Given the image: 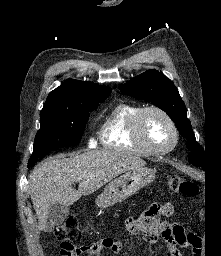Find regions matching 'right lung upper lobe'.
Instances as JSON below:
<instances>
[{
	"mask_svg": "<svg viewBox=\"0 0 221 256\" xmlns=\"http://www.w3.org/2000/svg\"><path fill=\"white\" fill-rule=\"evenodd\" d=\"M110 93L111 89L107 86L69 79L50 92L41 112L73 110L79 102Z\"/></svg>",
	"mask_w": 221,
	"mask_h": 256,
	"instance_id": "obj_1",
	"label": "right lung upper lobe"
}]
</instances>
